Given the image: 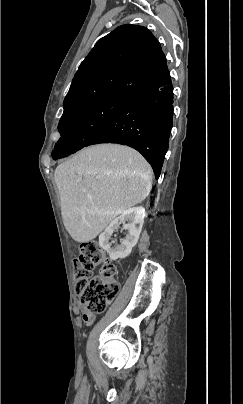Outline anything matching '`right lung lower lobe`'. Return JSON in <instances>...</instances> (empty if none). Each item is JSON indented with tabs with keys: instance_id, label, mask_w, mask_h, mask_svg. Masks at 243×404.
Instances as JSON below:
<instances>
[{
	"instance_id": "obj_1",
	"label": "right lung lower lobe",
	"mask_w": 243,
	"mask_h": 404,
	"mask_svg": "<svg viewBox=\"0 0 243 404\" xmlns=\"http://www.w3.org/2000/svg\"><path fill=\"white\" fill-rule=\"evenodd\" d=\"M172 104L173 86L169 76L162 86L127 99L88 146L98 143L130 146L150 163L158 179L173 124Z\"/></svg>"
}]
</instances>
